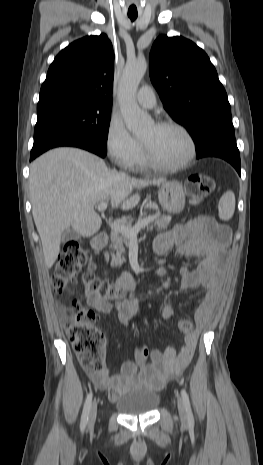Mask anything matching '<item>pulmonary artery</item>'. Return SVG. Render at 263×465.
Here are the masks:
<instances>
[{
	"instance_id": "e3ab8cb5",
	"label": "pulmonary artery",
	"mask_w": 263,
	"mask_h": 465,
	"mask_svg": "<svg viewBox=\"0 0 263 465\" xmlns=\"http://www.w3.org/2000/svg\"><path fill=\"white\" fill-rule=\"evenodd\" d=\"M136 100L144 108H153L156 105V96L150 86H142L137 95Z\"/></svg>"
}]
</instances>
